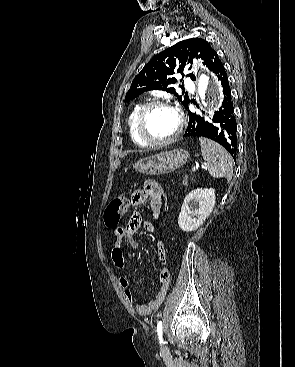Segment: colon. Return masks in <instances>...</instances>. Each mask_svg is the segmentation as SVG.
Returning <instances> with one entry per match:
<instances>
[{
    "instance_id": "5ec220e1",
    "label": "colon",
    "mask_w": 295,
    "mask_h": 367,
    "mask_svg": "<svg viewBox=\"0 0 295 367\" xmlns=\"http://www.w3.org/2000/svg\"><path fill=\"white\" fill-rule=\"evenodd\" d=\"M171 201L170 195H165L162 200V210L164 212L170 211L169 202ZM129 206L128 199L119 195L113 198V200L107 206L104 213V221L107 227L114 228L118 225L122 216L127 212Z\"/></svg>"
}]
</instances>
